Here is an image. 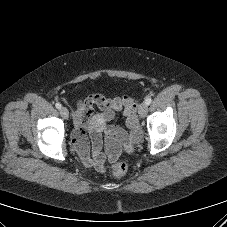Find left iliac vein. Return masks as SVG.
I'll use <instances>...</instances> for the list:
<instances>
[{"instance_id": "1", "label": "left iliac vein", "mask_w": 227, "mask_h": 227, "mask_svg": "<svg viewBox=\"0 0 227 227\" xmlns=\"http://www.w3.org/2000/svg\"><path fill=\"white\" fill-rule=\"evenodd\" d=\"M148 106L145 102L141 103L138 108V113L141 118H144L147 115Z\"/></svg>"}]
</instances>
